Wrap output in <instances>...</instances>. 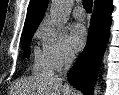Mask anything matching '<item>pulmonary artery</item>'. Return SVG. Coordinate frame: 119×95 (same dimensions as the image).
<instances>
[{
	"instance_id": "pulmonary-artery-1",
	"label": "pulmonary artery",
	"mask_w": 119,
	"mask_h": 95,
	"mask_svg": "<svg viewBox=\"0 0 119 95\" xmlns=\"http://www.w3.org/2000/svg\"><path fill=\"white\" fill-rule=\"evenodd\" d=\"M73 16L77 20H83L85 18V12L82 7L77 6L73 10Z\"/></svg>"
}]
</instances>
